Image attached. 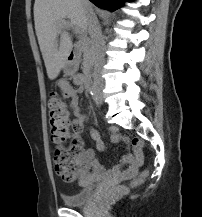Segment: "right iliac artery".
<instances>
[{
	"label": "right iliac artery",
	"mask_w": 202,
	"mask_h": 217,
	"mask_svg": "<svg viewBox=\"0 0 202 217\" xmlns=\"http://www.w3.org/2000/svg\"><path fill=\"white\" fill-rule=\"evenodd\" d=\"M90 94L92 95V98L94 100H97V97H96V90L94 88V86H92L91 90H90Z\"/></svg>",
	"instance_id": "obj_1"
}]
</instances>
